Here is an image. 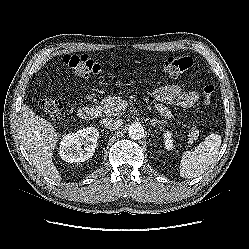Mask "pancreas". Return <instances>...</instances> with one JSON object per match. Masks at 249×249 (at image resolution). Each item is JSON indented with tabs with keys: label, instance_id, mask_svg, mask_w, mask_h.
Here are the masks:
<instances>
[{
	"label": "pancreas",
	"instance_id": "1",
	"mask_svg": "<svg viewBox=\"0 0 249 249\" xmlns=\"http://www.w3.org/2000/svg\"><path fill=\"white\" fill-rule=\"evenodd\" d=\"M123 100L120 97H111L108 96L104 98L101 102V105L98 106V109L104 113L106 116H119L121 114V104ZM156 110L160 113V115L171 118L172 114L170 110L165 107L163 104H155ZM199 136V131L196 127H193L191 129V132L188 135L189 143H192L193 141L197 140Z\"/></svg>",
	"mask_w": 249,
	"mask_h": 249
}]
</instances>
